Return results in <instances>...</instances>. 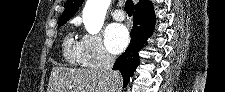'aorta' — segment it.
<instances>
[{
	"label": "aorta",
	"instance_id": "obj_1",
	"mask_svg": "<svg viewBox=\"0 0 225 92\" xmlns=\"http://www.w3.org/2000/svg\"><path fill=\"white\" fill-rule=\"evenodd\" d=\"M110 2L111 0H87L83 9V23L90 34H97L101 30Z\"/></svg>",
	"mask_w": 225,
	"mask_h": 92
}]
</instances>
